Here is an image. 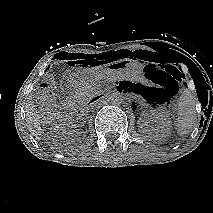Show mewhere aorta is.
Wrapping results in <instances>:
<instances>
[{"mask_svg": "<svg viewBox=\"0 0 213 213\" xmlns=\"http://www.w3.org/2000/svg\"><path fill=\"white\" fill-rule=\"evenodd\" d=\"M124 97L120 92H113L108 101L114 106H120L123 103Z\"/></svg>", "mask_w": 213, "mask_h": 213, "instance_id": "762f6f07", "label": "aorta"}]
</instances>
